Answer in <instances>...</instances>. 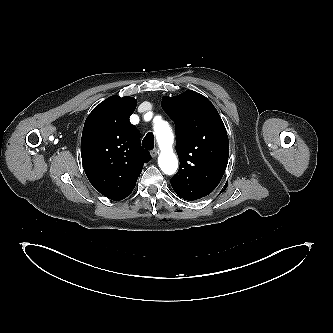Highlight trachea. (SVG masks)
<instances>
[{
	"label": "trachea",
	"instance_id": "obj_1",
	"mask_svg": "<svg viewBox=\"0 0 333 333\" xmlns=\"http://www.w3.org/2000/svg\"><path fill=\"white\" fill-rule=\"evenodd\" d=\"M142 146L148 150H152L154 148V135L149 132L146 134L142 141Z\"/></svg>",
	"mask_w": 333,
	"mask_h": 333
}]
</instances>
